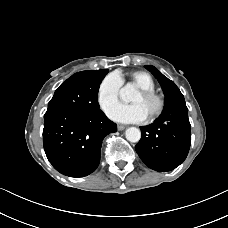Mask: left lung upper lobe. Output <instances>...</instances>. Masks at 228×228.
I'll return each mask as SVG.
<instances>
[{
  "label": "left lung upper lobe",
  "instance_id": "1",
  "mask_svg": "<svg viewBox=\"0 0 228 228\" xmlns=\"http://www.w3.org/2000/svg\"><path fill=\"white\" fill-rule=\"evenodd\" d=\"M145 68L149 70L155 78H157L160 83L162 90L165 95L164 104L166 106L172 104L174 101L179 99H184V96L180 92L179 88L175 85V83L165 77L159 70H157L154 66L145 65Z\"/></svg>",
  "mask_w": 228,
  "mask_h": 228
}]
</instances>
